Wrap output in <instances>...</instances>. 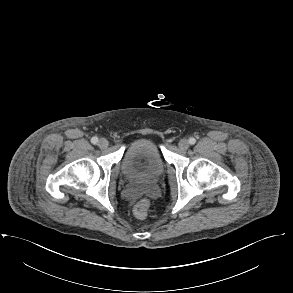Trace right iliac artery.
<instances>
[{"label": "right iliac artery", "mask_w": 293, "mask_h": 293, "mask_svg": "<svg viewBox=\"0 0 293 293\" xmlns=\"http://www.w3.org/2000/svg\"><path fill=\"white\" fill-rule=\"evenodd\" d=\"M91 142H92L93 144H97V142H98V138H97V137H92Z\"/></svg>", "instance_id": "obj_1"}]
</instances>
